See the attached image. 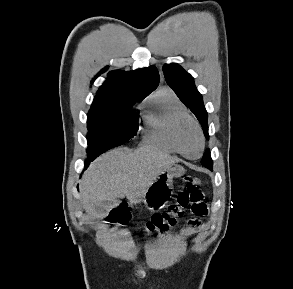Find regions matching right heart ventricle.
<instances>
[{
  "label": "right heart ventricle",
  "instance_id": "right-heart-ventricle-1",
  "mask_svg": "<svg viewBox=\"0 0 293 289\" xmlns=\"http://www.w3.org/2000/svg\"><path fill=\"white\" fill-rule=\"evenodd\" d=\"M188 116L187 109L169 88H160L143 103V142L166 152L178 153L172 140L177 119Z\"/></svg>",
  "mask_w": 293,
  "mask_h": 289
}]
</instances>
